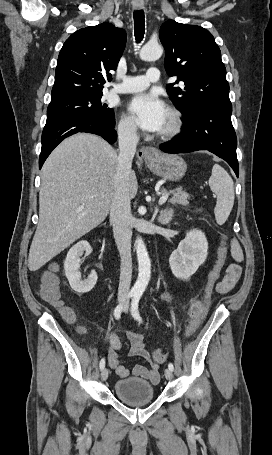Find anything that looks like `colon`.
I'll list each match as a JSON object with an SVG mask.
<instances>
[{
  "label": "colon",
  "instance_id": "colon-1",
  "mask_svg": "<svg viewBox=\"0 0 272 455\" xmlns=\"http://www.w3.org/2000/svg\"><path fill=\"white\" fill-rule=\"evenodd\" d=\"M228 254V244L226 242V238L223 236L217 250L215 262L208 273L203 296L201 299L194 301L190 306V322L185 331V336L187 338L191 337L197 331L201 322L205 318L214 286L219 280L220 275L225 267ZM41 296L45 301L55 306L61 307L62 312L66 317L71 318L73 316L70 310L61 306L58 280L52 271L45 273L43 276ZM152 355L154 361L157 363H163L167 359V353L162 350H155Z\"/></svg>",
  "mask_w": 272,
  "mask_h": 455
}]
</instances>
